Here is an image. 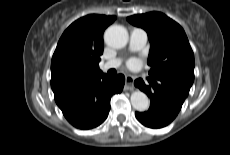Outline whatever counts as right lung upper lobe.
I'll list each match as a JSON object with an SVG mask.
<instances>
[{
    "instance_id": "right-lung-upper-lobe-1",
    "label": "right lung upper lobe",
    "mask_w": 230,
    "mask_h": 155,
    "mask_svg": "<svg viewBox=\"0 0 230 155\" xmlns=\"http://www.w3.org/2000/svg\"><path fill=\"white\" fill-rule=\"evenodd\" d=\"M115 16L87 15L62 34L51 61V88L57 90L87 81L101 73L103 32Z\"/></svg>"
}]
</instances>
